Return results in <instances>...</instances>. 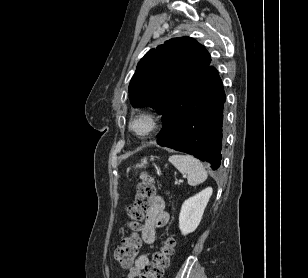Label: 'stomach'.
<instances>
[{"label": "stomach", "instance_id": "obj_1", "mask_svg": "<svg viewBox=\"0 0 308 278\" xmlns=\"http://www.w3.org/2000/svg\"><path fill=\"white\" fill-rule=\"evenodd\" d=\"M147 164L146 160H143L140 165L136 166V168H143Z\"/></svg>", "mask_w": 308, "mask_h": 278}]
</instances>
